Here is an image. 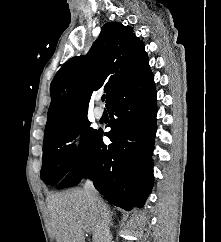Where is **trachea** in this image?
Returning a JSON list of instances; mask_svg holds the SVG:
<instances>
[{
    "mask_svg": "<svg viewBox=\"0 0 221 242\" xmlns=\"http://www.w3.org/2000/svg\"><path fill=\"white\" fill-rule=\"evenodd\" d=\"M104 100H105V95L102 96V101H104Z\"/></svg>",
    "mask_w": 221,
    "mask_h": 242,
    "instance_id": "3493384b",
    "label": "trachea"
}]
</instances>
